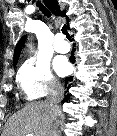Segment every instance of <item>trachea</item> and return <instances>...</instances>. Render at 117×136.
<instances>
[{
    "label": "trachea",
    "mask_w": 117,
    "mask_h": 136,
    "mask_svg": "<svg viewBox=\"0 0 117 136\" xmlns=\"http://www.w3.org/2000/svg\"><path fill=\"white\" fill-rule=\"evenodd\" d=\"M37 7H39V10L42 11V13L47 16V17H50L51 16V13L42 5L40 4L39 2L36 3ZM62 33L64 35H66L67 39L71 41V36L70 34L68 33V28L64 25L62 27Z\"/></svg>",
    "instance_id": "obj_1"
}]
</instances>
